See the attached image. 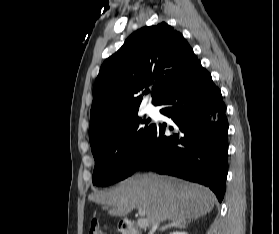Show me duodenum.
Returning <instances> with one entry per match:
<instances>
[{"instance_id":"1","label":"duodenum","mask_w":279,"mask_h":234,"mask_svg":"<svg viewBox=\"0 0 279 234\" xmlns=\"http://www.w3.org/2000/svg\"><path fill=\"white\" fill-rule=\"evenodd\" d=\"M120 228L124 234H140L134 223L129 220H123Z\"/></svg>"}]
</instances>
